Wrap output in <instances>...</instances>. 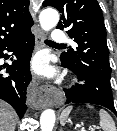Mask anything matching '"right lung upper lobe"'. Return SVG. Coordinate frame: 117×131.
<instances>
[{"label": "right lung upper lobe", "mask_w": 117, "mask_h": 131, "mask_svg": "<svg viewBox=\"0 0 117 131\" xmlns=\"http://www.w3.org/2000/svg\"><path fill=\"white\" fill-rule=\"evenodd\" d=\"M29 0H0V47L30 32Z\"/></svg>", "instance_id": "right-lung-upper-lobe-1"}]
</instances>
